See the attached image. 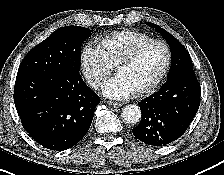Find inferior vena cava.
I'll use <instances>...</instances> for the list:
<instances>
[{
	"label": "inferior vena cava",
	"instance_id": "602c4592",
	"mask_svg": "<svg viewBox=\"0 0 224 175\" xmlns=\"http://www.w3.org/2000/svg\"><path fill=\"white\" fill-rule=\"evenodd\" d=\"M87 81L91 86L95 88L100 84V79L98 77H89Z\"/></svg>",
	"mask_w": 224,
	"mask_h": 175
}]
</instances>
